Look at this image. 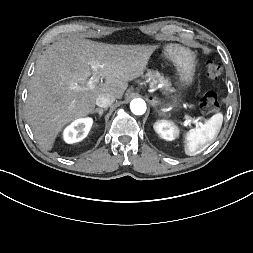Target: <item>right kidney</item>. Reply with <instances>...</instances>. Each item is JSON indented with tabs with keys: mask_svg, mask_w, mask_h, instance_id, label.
<instances>
[{
	"mask_svg": "<svg viewBox=\"0 0 253 253\" xmlns=\"http://www.w3.org/2000/svg\"><path fill=\"white\" fill-rule=\"evenodd\" d=\"M93 124L91 118H83L74 121L64 131V139L67 143H75L83 140Z\"/></svg>",
	"mask_w": 253,
	"mask_h": 253,
	"instance_id": "ca27d5eb",
	"label": "right kidney"
}]
</instances>
